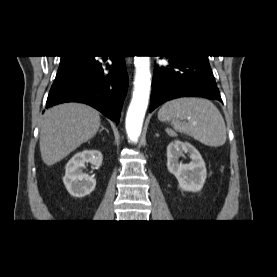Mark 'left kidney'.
<instances>
[{"label": "left kidney", "instance_id": "obj_1", "mask_svg": "<svg viewBox=\"0 0 277 277\" xmlns=\"http://www.w3.org/2000/svg\"><path fill=\"white\" fill-rule=\"evenodd\" d=\"M183 152L189 154V164L179 162ZM167 168L178 180L179 187L188 192L200 191L207 177L205 162L198 150L180 140L171 142L167 147Z\"/></svg>", "mask_w": 277, "mask_h": 277}]
</instances>
